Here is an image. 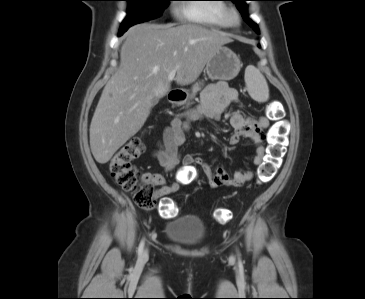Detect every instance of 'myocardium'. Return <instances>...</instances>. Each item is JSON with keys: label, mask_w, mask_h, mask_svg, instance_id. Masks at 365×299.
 Instances as JSON below:
<instances>
[{"label": "myocardium", "mask_w": 365, "mask_h": 299, "mask_svg": "<svg viewBox=\"0 0 365 299\" xmlns=\"http://www.w3.org/2000/svg\"><path fill=\"white\" fill-rule=\"evenodd\" d=\"M224 24L226 27L234 29L241 24V16L239 11L232 6L226 8L224 12Z\"/></svg>", "instance_id": "1"}]
</instances>
